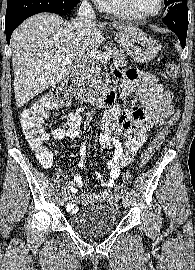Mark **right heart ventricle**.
Instances as JSON below:
<instances>
[{"label":"right heart ventricle","instance_id":"e07e8e85","mask_svg":"<svg viewBox=\"0 0 195 270\" xmlns=\"http://www.w3.org/2000/svg\"><path fill=\"white\" fill-rule=\"evenodd\" d=\"M100 8L117 17L129 19V20H138L124 5L123 0H102Z\"/></svg>","mask_w":195,"mask_h":270}]
</instances>
